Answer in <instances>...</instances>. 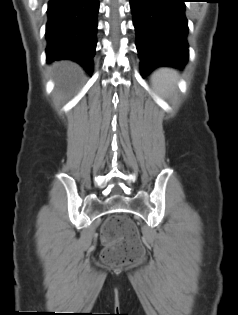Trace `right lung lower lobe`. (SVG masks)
Wrapping results in <instances>:
<instances>
[{
  "instance_id": "right-lung-lower-lobe-1",
  "label": "right lung lower lobe",
  "mask_w": 238,
  "mask_h": 315,
  "mask_svg": "<svg viewBox=\"0 0 238 315\" xmlns=\"http://www.w3.org/2000/svg\"><path fill=\"white\" fill-rule=\"evenodd\" d=\"M99 0H49L46 23L48 62L70 59L93 71Z\"/></svg>"
}]
</instances>
